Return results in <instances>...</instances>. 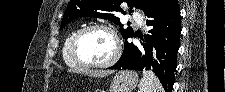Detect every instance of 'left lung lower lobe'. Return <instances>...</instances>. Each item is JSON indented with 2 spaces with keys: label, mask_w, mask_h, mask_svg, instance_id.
<instances>
[{
  "label": "left lung lower lobe",
  "mask_w": 225,
  "mask_h": 92,
  "mask_svg": "<svg viewBox=\"0 0 225 92\" xmlns=\"http://www.w3.org/2000/svg\"><path fill=\"white\" fill-rule=\"evenodd\" d=\"M145 15L149 17L146 21L149 34L140 36V46L128 43L126 39L122 56L109 69L150 70L157 75L166 92H171L180 46L178 2L162 0Z\"/></svg>",
  "instance_id": "0a47b994"
}]
</instances>
